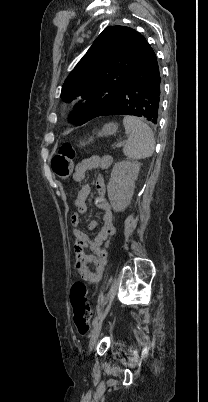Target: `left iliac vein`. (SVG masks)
<instances>
[{
	"instance_id": "1",
	"label": "left iliac vein",
	"mask_w": 208,
	"mask_h": 402,
	"mask_svg": "<svg viewBox=\"0 0 208 402\" xmlns=\"http://www.w3.org/2000/svg\"><path fill=\"white\" fill-rule=\"evenodd\" d=\"M102 328V319H100L99 321H97L93 331H92V335L90 338V343H89V351L91 352L97 342L98 336L100 334Z\"/></svg>"
}]
</instances>
